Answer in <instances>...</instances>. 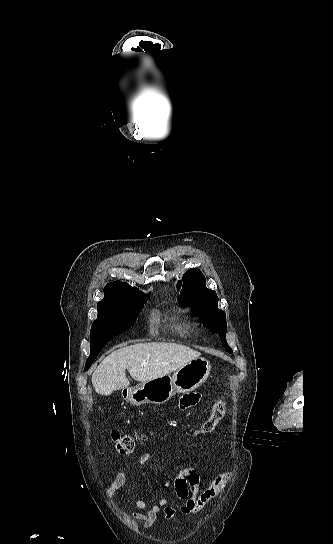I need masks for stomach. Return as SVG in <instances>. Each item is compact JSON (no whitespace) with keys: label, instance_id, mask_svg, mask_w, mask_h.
<instances>
[{"label":"stomach","instance_id":"obj_1","mask_svg":"<svg viewBox=\"0 0 333 544\" xmlns=\"http://www.w3.org/2000/svg\"><path fill=\"white\" fill-rule=\"evenodd\" d=\"M211 364L204 358H196L177 369L170 376H162L126 391V400L134 406L146 403L164 404L176 393L193 391L201 386L208 378Z\"/></svg>","mask_w":333,"mask_h":544}]
</instances>
